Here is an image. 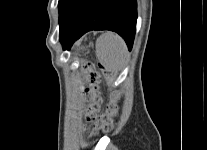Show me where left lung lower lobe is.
<instances>
[{
    "label": "left lung lower lobe",
    "mask_w": 207,
    "mask_h": 150,
    "mask_svg": "<svg viewBox=\"0 0 207 150\" xmlns=\"http://www.w3.org/2000/svg\"><path fill=\"white\" fill-rule=\"evenodd\" d=\"M136 0H66L59 11V38L63 49L90 30H111L131 50L136 31Z\"/></svg>",
    "instance_id": "0a47b994"
}]
</instances>
